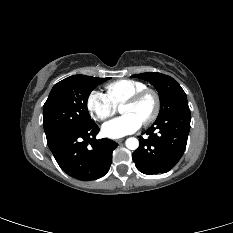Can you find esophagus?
Listing matches in <instances>:
<instances>
[{"instance_id":"esophagus-1","label":"esophagus","mask_w":233,"mask_h":233,"mask_svg":"<svg viewBox=\"0 0 233 233\" xmlns=\"http://www.w3.org/2000/svg\"><path fill=\"white\" fill-rule=\"evenodd\" d=\"M123 141H124V139H123V138H121V139H117V140H116V142H117V143H119V144H120V143H122Z\"/></svg>"}]
</instances>
